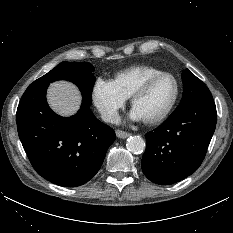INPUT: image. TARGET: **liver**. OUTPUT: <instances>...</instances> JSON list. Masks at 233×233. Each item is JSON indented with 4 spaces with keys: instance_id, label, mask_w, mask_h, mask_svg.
I'll return each mask as SVG.
<instances>
[{
    "instance_id": "obj_1",
    "label": "liver",
    "mask_w": 233,
    "mask_h": 233,
    "mask_svg": "<svg viewBox=\"0 0 233 233\" xmlns=\"http://www.w3.org/2000/svg\"><path fill=\"white\" fill-rule=\"evenodd\" d=\"M47 99L50 107L62 116L74 115L81 104L78 88L67 81L52 83L48 89Z\"/></svg>"
}]
</instances>
